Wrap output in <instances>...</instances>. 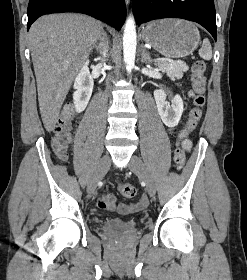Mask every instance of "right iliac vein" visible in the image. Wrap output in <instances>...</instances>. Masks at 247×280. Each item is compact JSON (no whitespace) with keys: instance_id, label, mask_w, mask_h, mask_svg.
<instances>
[{"instance_id":"63e3f726","label":"right iliac vein","mask_w":247,"mask_h":280,"mask_svg":"<svg viewBox=\"0 0 247 280\" xmlns=\"http://www.w3.org/2000/svg\"><path fill=\"white\" fill-rule=\"evenodd\" d=\"M110 164H111L110 156L104 155L101 158V160L90 180V183L88 185L89 194H92L95 191L98 182L105 176V174L109 170Z\"/></svg>"}]
</instances>
